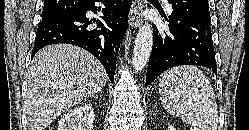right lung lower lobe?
<instances>
[{"label": "right lung lower lobe", "mask_w": 249, "mask_h": 130, "mask_svg": "<svg viewBox=\"0 0 249 130\" xmlns=\"http://www.w3.org/2000/svg\"><path fill=\"white\" fill-rule=\"evenodd\" d=\"M95 2H102L104 14L101 19L90 20L86 12H97ZM132 0H87L69 15L39 23L32 57L50 44L68 43L82 47L93 54L104 66L113 83L116 57L127 30L128 13ZM99 10V9H98ZM101 10V9H100ZM96 23L97 27L89 25Z\"/></svg>", "instance_id": "obj_1"}]
</instances>
